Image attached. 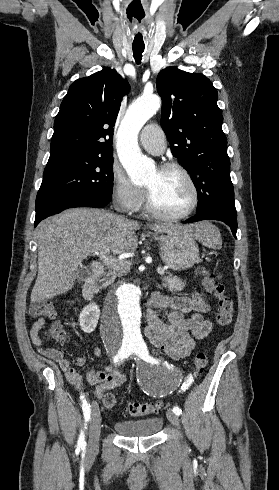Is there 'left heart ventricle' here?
<instances>
[{
  "label": "left heart ventricle",
  "mask_w": 279,
  "mask_h": 490,
  "mask_svg": "<svg viewBox=\"0 0 279 490\" xmlns=\"http://www.w3.org/2000/svg\"><path fill=\"white\" fill-rule=\"evenodd\" d=\"M150 188L156 207L167 214H177L190 203L192 192L186 179L175 171L156 170L149 177Z\"/></svg>",
  "instance_id": "1"
}]
</instances>
